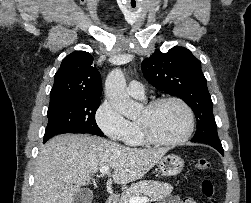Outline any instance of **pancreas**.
<instances>
[{
	"label": "pancreas",
	"mask_w": 251,
	"mask_h": 203,
	"mask_svg": "<svg viewBox=\"0 0 251 203\" xmlns=\"http://www.w3.org/2000/svg\"><path fill=\"white\" fill-rule=\"evenodd\" d=\"M173 190V187L164 182L154 180H144L132 184L126 188L121 194L118 203H129L131 197H150V201H157L167 195Z\"/></svg>",
	"instance_id": "pancreas-1"
}]
</instances>
